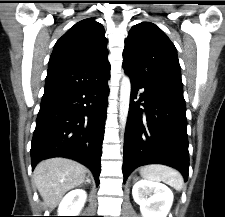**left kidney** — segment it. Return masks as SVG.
Instances as JSON below:
<instances>
[{"label":"left kidney","instance_id":"obj_1","mask_svg":"<svg viewBox=\"0 0 225 217\" xmlns=\"http://www.w3.org/2000/svg\"><path fill=\"white\" fill-rule=\"evenodd\" d=\"M134 201L143 217H166L173 203V193L166 185L139 180L132 189Z\"/></svg>","mask_w":225,"mask_h":217}]
</instances>
